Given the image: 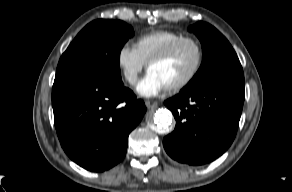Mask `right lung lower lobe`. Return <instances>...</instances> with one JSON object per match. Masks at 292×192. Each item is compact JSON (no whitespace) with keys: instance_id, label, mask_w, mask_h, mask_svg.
<instances>
[{"instance_id":"98d812e1","label":"right lung lower lobe","mask_w":292,"mask_h":192,"mask_svg":"<svg viewBox=\"0 0 292 192\" xmlns=\"http://www.w3.org/2000/svg\"><path fill=\"white\" fill-rule=\"evenodd\" d=\"M55 127L61 146L78 165L105 171L125 156L129 133L145 105L122 81L80 70H57L52 88Z\"/></svg>"}]
</instances>
